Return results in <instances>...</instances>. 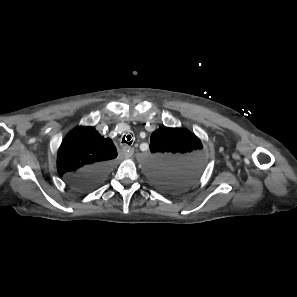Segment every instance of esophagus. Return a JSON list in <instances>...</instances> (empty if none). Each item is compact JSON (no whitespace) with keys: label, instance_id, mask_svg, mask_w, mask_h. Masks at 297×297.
Instances as JSON below:
<instances>
[{"label":"esophagus","instance_id":"obj_1","mask_svg":"<svg viewBox=\"0 0 297 297\" xmlns=\"http://www.w3.org/2000/svg\"><path fill=\"white\" fill-rule=\"evenodd\" d=\"M122 151H123V154H124V156L126 158L131 157L133 155V153H134V149L131 148V147H129V146H127V145H125V146L122 147Z\"/></svg>","mask_w":297,"mask_h":297}]
</instances>
